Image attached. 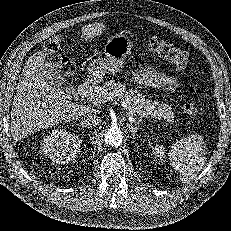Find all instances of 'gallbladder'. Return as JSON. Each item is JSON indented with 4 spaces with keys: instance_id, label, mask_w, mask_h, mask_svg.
<instances>
[{
    "instance_id": "bac80fb5",
    "label": "gallbladder",
    "mask_w": 231,
    "mask_h": 231,
    "mask_svg": "<svg viewBox=\"0 0 231 231\" xmlns=\"http://www.w3.org/2000/svg\"><path fill=\"white\" fill-rule=\"evenodd\" d=\"M46 72L48 74L49 82L61 90L67 98L72 99L77 97L75 88L67 82L66 78L60 73L56 65L47 64Z\"/></svg>"
}]
</instances>
